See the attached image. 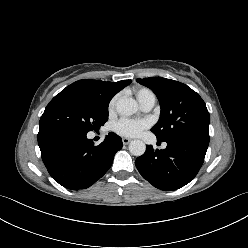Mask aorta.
<instances>
[{"label":"aorta","mask_w":248,"mask_h":248,"mask_svg":"<svg viewBox=\"0 0 248 248\" xmlns=\"http://www.w3.org/2000/svg\"><path fill=\"white\" fill-rule=\"evenodd\" d=\"M117 112L122 116H130L137 112L138 104L134 99H122L116 104ZM146 145L141 140H133L129 144V151L134 156H141L145 153Z\"/></svg>","instance_id":"1"}]
</instances>
